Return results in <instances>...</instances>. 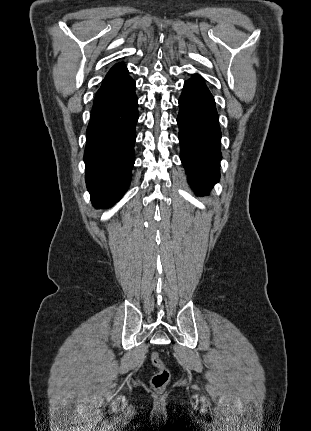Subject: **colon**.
<instances>
[{
	"label": "colon",
	"instance_id": "obj_1",
	"mask_svg": "<svg viewBox=\"0 0 311 431\" xmlns=\"http://www.w3.org/2000/svg\"><path fill=\"white\" fill-rule=\"evenodd\" d=\"M151 362L153 366L157 369L151 379V385L156 390L164 389L170 379V371L161 359L158 352H153L151 354Z\"/></svg>",
	"mask_w": 311,
	"mask_h": 431
}]
</instances>
